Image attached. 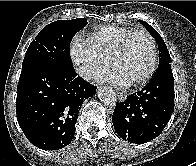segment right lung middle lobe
<instances>
[{
    "mask_svg": "<svg viewBox=\"0 0 196 166\" xmlns=\"http://www.w3.org/2000/svg\"><path fill=\"white\" fill-rule=\"evenodd\" d=\"M87 25L85 18L58 20L45 26L29 45L22 68L48 63L72 69L69 46L74 35Z\"/></svg>",
    "mask_w": 196,
    "mask_h": 166,
    "instance_id": "obj_1",
    "label": "right lung middle lobe"
}]
</instances>
